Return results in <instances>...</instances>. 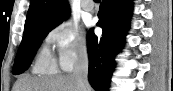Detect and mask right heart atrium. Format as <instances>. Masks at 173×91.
Segmentation results:
<instances>
[{"instance_id":"1","label":"right heart atrium","mask_w":173,"mask_h":91,"mask_svg":"<svg viewBox=\"0 0 173 91\" xmlns=\"http://www.w3.org/2000/svg\"><path fill=\"white\" fill-rule=\"evenodd\" d=\"M56 51L59 67L71 71L75 65L86 57L88 42L83 31L71 20H64L54 26L46 38Z\"/></svg>"}]
</instances>
